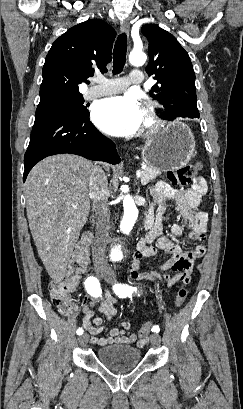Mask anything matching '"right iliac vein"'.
I'll return each instance as SVG.
<instances>
[{"label":"right iliac vein","instance_id":"63e3f726","mask_svg":"<svg viewBox=\"0 0 243 409\" xmlns=\"http://www.w3.org/2000/svg\"><path fill=\"white\" fill-rule=\"evenodd\" d=\"M98 276H99L100 278H105L107 275H106L104 272H99V273H98ZM88 339H89V335L85 333V334L81 335V336L78 338V342H79V344H80L81 346H84V345L88 342Z\"/></svg>","mask_w":243,"mask_h":409}]
</instances>
